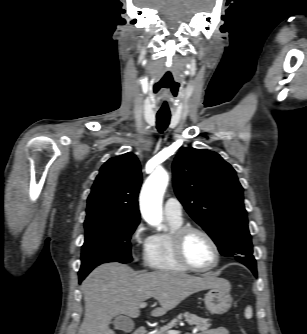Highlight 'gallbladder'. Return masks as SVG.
<instances>
[{"label": "gallbladder", "mask_w": 307, "mask_h": 334, "mask_svg": "<svg viewBox=\"0 0 307 334\" xmlns=\"http://www.w3.org/2000/svg\"><path fill=\"white\" fill-rule=\"evenodd\" d=\"M114 327L117 330L131 332L134 329L133 321L126 316H117L113 321Z\"/></svg>", "instance_id": "gallbladder-1"}]
</instances>
